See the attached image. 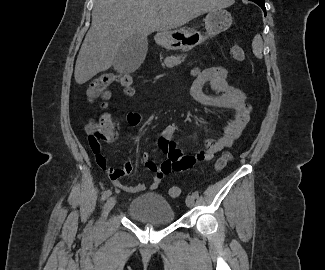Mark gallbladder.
Instances as JSON below:
<instances>
[{"label": "gallbladder", "mask_w": 325, "mask_h": 270, "mask_svg": "<svg viewBox=\"0 0 325 270\" xmlns=\"http://www.w3.org/2000/svg\"><path fill=\"white\" fill-rule=\"evenodd\" d=\"M148 49L147 37H129L119 48L113 67L119 73H132L144 61Z\"/></svg>", "instance_id": "gallbladder-1"}]
</instances>
